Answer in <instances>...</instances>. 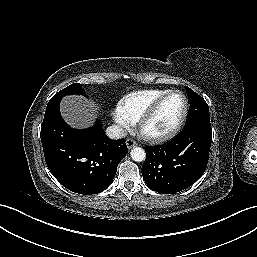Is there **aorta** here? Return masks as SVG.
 <instances>
[{
    "instance_id": "762f6f07",
    "label": "aorta",
    "mask_w": 257,
    "mask_h": 257,
    "mask_svg": "<svg viewBox=\"0 0 257 257\" xmlns=\"http://www.w3.org/2000/svg\"><path fill=\"white\" fill-rule=\"evenodd\" d=\"M131 158L136 162H142L146 158V153L144 149L140 147H135L131 150Z\"/></svg>"
}]
</instances>
